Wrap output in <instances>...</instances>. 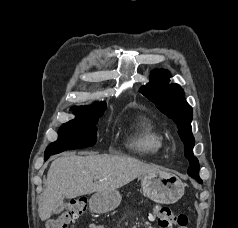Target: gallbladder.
<instances>
[{"label":"gallbladder","mask_w":238,"mask_h":228,"mask_svg":"<svg viewBox=\"0 0 238 228\" xmlns=\"http://www.w3.org/2000/svg\"><path fill=\"white\" fill-rule=\"evenodd\" d=\"M63 208H64V206L61 205V206H59L58 208H56V209L54 210V212H55V213H59V212H61V211L63 210Z\"/></svg>","instance_id":"obj_1"}]
</instances>
